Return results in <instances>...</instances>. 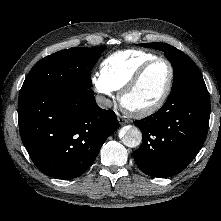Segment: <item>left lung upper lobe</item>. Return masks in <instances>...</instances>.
<instances>
[{
  "mask_svg": "<svg viewBox=\"0 0 221 221\" xmlns=\"http://www.w3.org/2000/svg\"><path fill=\"white\" fill-rule=\"evenodd\" d=\"M140 46L164 51L174 71L171 94L187 89H206L202 74L194 61L179 49L161 42L144 43Z\"/></svg>",
  "mask_w": 221,
  "mask_h": 221,
  "instance_id": "obj_1",
  "label": "left lung upper lobe"
}]
</instances>
